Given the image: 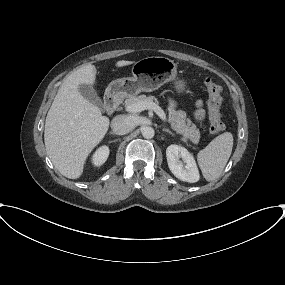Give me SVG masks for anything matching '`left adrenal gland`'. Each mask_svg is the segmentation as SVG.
I'll list each match as a JSON object with an SVG mask.
<instances>
[{
	"label": "left adrenal gland",
	"instance_id": "obj_1",
	"mask_svg": "<svg viewBox=\"0 0 285 285\" xmlns=\"http://www.w3.org/2000/svg\"><path fill=\"white\" fill-rule=\"evenodd\" d=\"M163 132H167L169 134H171L172 136H174V133H172L169 129H162Z\"/></svg>",
	"mask_w": 285,
	"mask_h": 285
}]
</instances>
